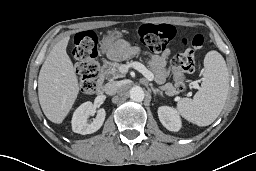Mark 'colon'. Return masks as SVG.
Here are the masks:
<instances>
[{"label":"colon","mask_w":256,"mask_h":171,"mask_svg":"<svg viewBox=\"0 0 256 171\" xmlns=\"http://www.w3.org/2000/svg\"><path fill=\"white\" fill-rule=\"evenodd\" d=\"M141 43L154 52L166 49L175 36V29L169 24H143L138 31ZM204 37L195 34L182 39L184 50L175 55L171 62L173 81L177 90L186 88V76L196 71L195 53L202 47ZM97 38L94 32L84 31L77 35L74 43V56L78 60L79 90L81 95L94 92L100 76Z\"/></svg>","instance_id":"5ec220e1"}]
</instances>
